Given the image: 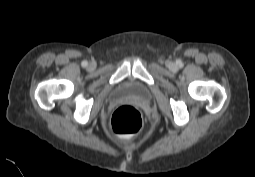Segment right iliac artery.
I'll return each mask as SVG.
<instances>
[{"label":"right iliac artery","mask_w":255,"mask_h":177,"mask_svg":"<svg viewBox=\"0 0 255 177\" xmlns=\"http://www.w3.org/2000/svg\"><path fill=\"white\" fill-rule=\"evenodd\" d=\"M81 65H82L83 67H87L88 62H87V61H83V62L81 63Z\"/></svg>","instance_id":"82829eb1"}]
</instances>
